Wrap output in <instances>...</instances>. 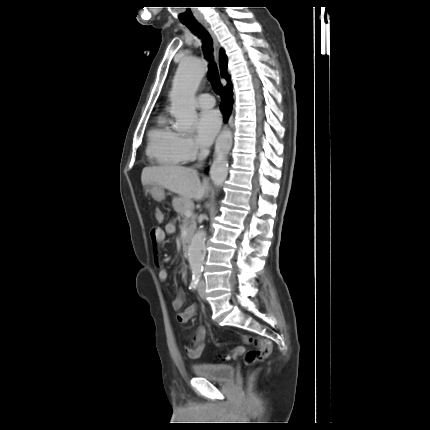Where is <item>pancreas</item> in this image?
I'll return each instance as SVG.
<instances>
[{
	"instance_id": "cf45deb5",
	"label": "pancreas",
	"mask_w": 430,
	"mask_h": 430,
	"mask_svg": "<svg viewBox=\"0 0 430 430\" xmlns=\"http://www.w3.org/2000/svg\"><path fill=\"white\" fill-rule=\"evenodd\" d=\"M173 208L178 213L179 216L184 217L186 210H193L194 206L191 200H186L183 197H175L172 201ZM196 225V218L192 216L190 221V227L191 230Z\"/></svg>"
}]
</instances>
